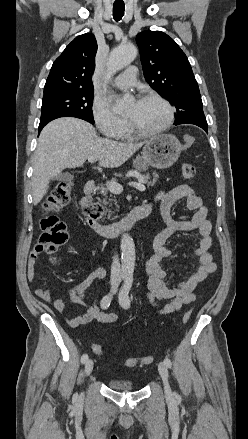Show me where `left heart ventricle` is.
Returning a JSON list of instances; mask_svg holds the SVG:
<instances>
[{"mask_svg":"<svg viewBox=\"0 0 248 439\" xmlns=\"http://www.w3.org/2000/svg\"><path fill=\"white\" fill-rule=\"evenodd\" d=\"M126 116L140 128L154 130L165 124L168 113L165 106L157 100H138L132 102Z\"/></svg>","mask_w":248,"mask_h":439,"instance_id":"obj_1","label":"left heart ventricle"}]
</instances>
